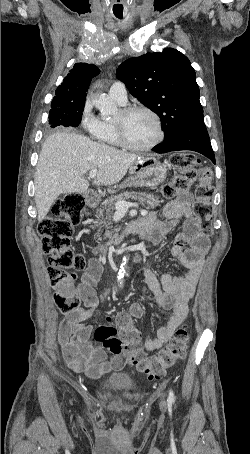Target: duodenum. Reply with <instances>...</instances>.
<instances>
[{
    "instance_id": "1",
    "label": "duodenum",
    "mask_w": 250,
    "mask_h": 454,
    "mask_svg": "<svg viewBox=\"0 0 250 454\" xmlns=\"http://www.w3.org/2000/svg\"><path fill=\"white\" fill-rule=\"evenodd\" d=\"M96 200H97V197H96L95 195H93V194H88V195L86 196V200H85V201H86L87 206L93 207V206L96 204ZM136 223H137V222H136ZM136 223H134V224L131 225L129 228H127V229L123 232L122 237H127V236H129V235H131V234L138 233V229H137L136 226H135ZM105 251H106V247H105V246H100V247H98V253H99L100 255H103V254L105 253Z\"/></svg>"
}]
</instances>
